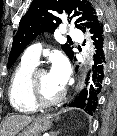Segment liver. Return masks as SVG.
<instances>
[{"mask_svg": "<svg viewBox=\"0 0 117 136\" xmlns=\"http://www.w3.org/2000/svg\"><path fill=\"white\" fill-rule=\"evenodd\" d=\"M34 119V116L20 114L11 115L4 120L2 129L0 130V135L15 136L20 130L26 127Z\"/></svg>", "mask_w": 117, "mask_h": 136, "instance_id": "1", "label": "liver"}]
</instances>
